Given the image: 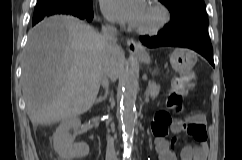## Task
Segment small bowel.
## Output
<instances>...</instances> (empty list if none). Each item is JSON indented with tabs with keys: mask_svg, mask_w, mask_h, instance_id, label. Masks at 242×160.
I'll return each mask as SVG.
<instances>
[{
	"mask_svg": "<svg viewBox=\"0 0 242 160\" xmlns=\"http://www.w3.org/2000/svg\"><path fill=\"white\" fill-rule=\"evenodd\" d=\"M197 125H202L205 129L206 139L196 140L197 145L185 146L181 150L179 160H206L207 157V132L205 127V121L202 115L194 114L188 116L185 120L175 119L170 123V130L174 135H178L183 132H187L193 136L194 129ZM189 130H192L189 132ZM155 134V133H154ZM168 131L162 134H155V149L159 155L160 160H178L174 151L172 150L176 137L168 138Z\"/></svg>",
	"mask_w": 242,
	"mask_h": 160,
	"instance_id": "obj_1",
	"label": "small bowel"
}]
</instances>
